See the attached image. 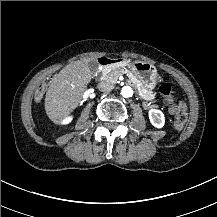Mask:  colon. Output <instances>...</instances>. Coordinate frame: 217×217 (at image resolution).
Masks as SVG:
<instances>
[{"label":"colon","mask_w":217,"mask_h":217,"mask_svg":"<svg viewBox=\"0 0 217 217\" xmlns=\"http://www.w3.org/2000/svg\"><path fill=\"white\" fill-rule=\"evenodd\" d=\"M158 90L163 98L168 99V109L174 113V127L177 130L183 129L189 118L187 104L184 101L176 102L170 98L172 88L168 82L161 83ZM41 97L42 91H38L35 96V101H40Z\"/></svg>","instance_id":"1"}]
</instances>
